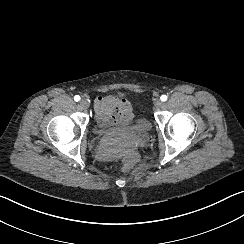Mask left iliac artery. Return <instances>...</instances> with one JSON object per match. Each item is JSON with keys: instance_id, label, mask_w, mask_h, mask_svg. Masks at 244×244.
<instances>
[{"instance_id": "44dca946", "label": "left iliac artery", "mask_w": 244, "mask_h": 244, "mask_svg": "<svg viewBox=\"0 0 244 244\" xmlns=\"http://www.w3.org/2000/svg\"><path fill=\"white\" fill-rule=\"evenodd\" d=\"M160 99H161L162 101H166V100H167V96H166V95H162V96L160 97Z\"/></svg>"}]
</instances>
